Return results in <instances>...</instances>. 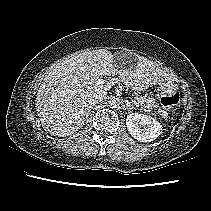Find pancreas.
<instances>
[{
  "instance_id": "1",
  "label": "pancreas",
  "mask_w": 211,
  "mask_h": 211,
  "mask_svg": "<svg viewBox=\"0 0 211 211\" xmlns=\"http://www.w3.org/2000/svg\"><path fill=\"white\" fill-rule=\"evenodd\" d=\"M135 100L138 101L143 107L156 109L157 114L161 115L163 118H165V119L168 118V113L166 111L158 108L154 99L147 97V96H144V97L137 96V97H135Z\"/></svg>"
}]
</instances>
